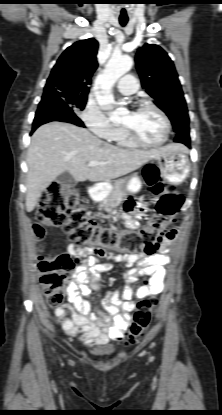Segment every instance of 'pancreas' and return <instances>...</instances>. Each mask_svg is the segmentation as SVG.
Segmentation results:
<instances>
[{
  "instance_id": "1",
  "label": "pancreas",
  "mask_w": 222,
  "mask_h": 415,
  "mask_svg": "<svg viewBox=\"0 0 222 415\" xmlns=\"http://www.w3.org/2000/svg\"><path fill=\"white\" fill-rule=\"evenodd\" d=\"M125 183L126 179H121L114 182L111 190L108 192L107 196L100 204L101 209L108 211L112 208H115L120 202L124 200L127 195L124 189Z\"/></svg>"
}]
</instances>
